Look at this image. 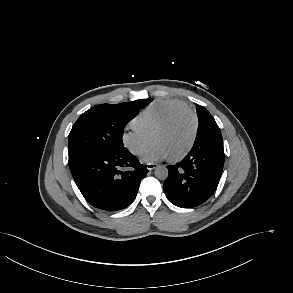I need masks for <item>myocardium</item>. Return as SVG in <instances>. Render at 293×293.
I'll use <instances>...</instances> for the list:
<instances>
[{
	"instance_id": "f54148a6",
	"label": "myocardium",
	"mask_w": 293,
	"mask_h": 293,
	"mask_svg": "<svg viewBox=\"0 0 293 293\" xmlns=\"http://www.w3.org/2000/svg\"><path fill=\"white\" fill-rule=\"evenodd\" d=\"M184 116H190L192 118V120H193V125H194V127H193V135H192V139H191L189 145L187 146V148L183 152H181L180 154H178L176 156L169 157V159L171 161H174V162L184 159L192 151V149H193V147H194V145L196 143V140H197V137H198V132H199V118H198L197 114L191 109L178 111V112L172 114L161 125H159L151 135V138L153 139V137L157 133L168 129L178 119H180L181 117H184Z\"/></svg>"
}]
</instances>
